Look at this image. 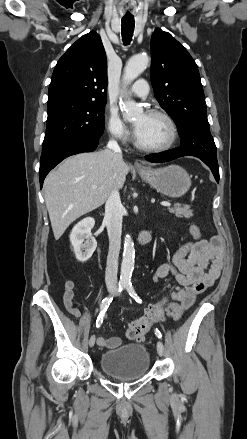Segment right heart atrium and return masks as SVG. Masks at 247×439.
<instances>
[{"label": "right heart atrium", "mask_w": 247, "mask_h": 439, "mask_svg": "<svg viewBox=\"0 0 247 439\" xmlns=\"http://www.w3.org/2000/svg\"><path fill=\"white\" fill-rule=\"evenodd\" d=\"M105 126L108 135L117 141L126 142L129 139L130 133L125 123L120 118L116 110H108L105 117Z\"/></svg>", "instance_id": "obj_1"}]
</instances>
